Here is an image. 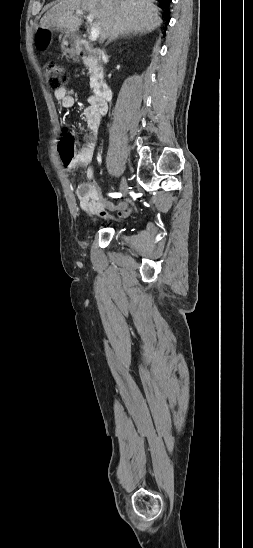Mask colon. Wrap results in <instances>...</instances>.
Wrapping results in <instances>:
<instances>
[{
	"mask_svg": "<svg viewBox=\"0 0 253 548\" xmlns=\"http://www.w3.org/2000/svg\"><path fill=\"white\" fill-rule=\"evenodd\" d=\"M41 44H45L48 41V36L42 34L39 37ZM44 75L47 85L52 90H59L64 87L68 81V73L66 69L56 63H47L44 66ZM75 140L71 134H65L58 146L59 154L64 162H70L74 156Z\"/></svg>",
	"mask_w": 253,
	"mask_h": 548,
	"instance_id": "colon-1",
	"label": "colon"
}]
</instances>
